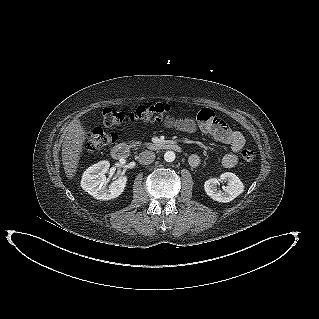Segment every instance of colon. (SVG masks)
<instances>
[{"label": "colon", "mask_w": 319, "mask_h": 319, "mask_svg": "<svg viewBox=\"0 0 319 319\" xmlns=\"http://www.w3.org/2000/svg\"><path fill=\"white\" fill-rule=\"evenodd\" d=\"M174 106L169 104H153L139 106L130 113H123L115 108H105L102 112L105 126L114 127L125 123L140 121H156L172 116ZM116 139L114 133L95 128L87 134L86 148L89 151L101 150L112 144ZM244 161L251 163L255 160V153L250 149H244L241 153Z\"/></svg>", "instance_id": "1"}]
</instances>
